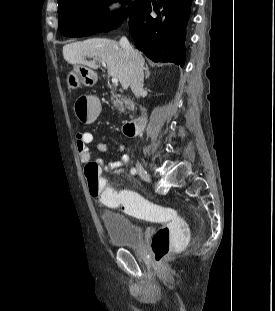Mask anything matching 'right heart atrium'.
Wrapping results in <instances>:
<instances>
[{"instance_id": "d8ad5b80", "label": "right heart atrium", "mask_w": 275, "mask_h": 311, "mask_svg": "<svg viewBox=\"0 0 275 311\" xmlns=\"http://www.w3.org/2000/svg\"><path fill=\"white\" fill-rule=\"evenodd\" d=\"M123 8L122 0H109L104 6L103 12L106 17L112 18L120 13Z\"/></svg>"}]
</instances>
